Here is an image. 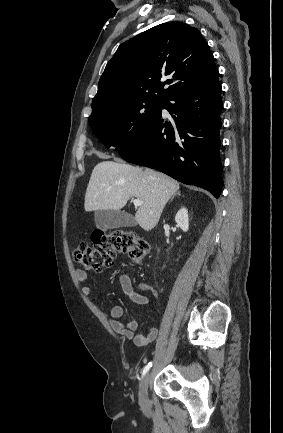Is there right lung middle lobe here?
Returning a JSON list of instances; mask_svg holds the SVG:
<instances>
[{"label": "right lung middle lobe", "instance_id": "obj_1", "mask_svg": "<svg viewBox=\"0 0 283 433\" xmlns=\"http://www.w3.org/2000/svg\"><path fill=\"white\" fill-rule=\"evenodd\" d=\"M163 102L135 101L105 109L88 118L92 131L106 146L127 150L161 109Z\"/></svg>", "mask_w": 283, "mask_h": 433}]
</instances>
